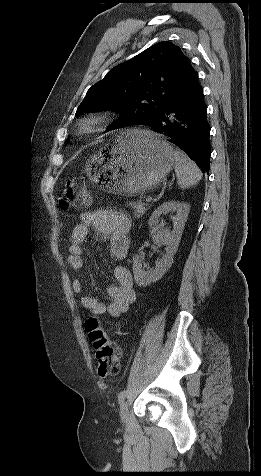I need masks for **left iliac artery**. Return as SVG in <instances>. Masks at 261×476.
<instances>
[{
    "label": "left iliac artery",
    "mask_w": 261,
    "mask_h": 476,
    "mask_svg": "<svg viewBox=\"0 0 261 476\" xmlns=\"http://www.w3.org/2000/svg\"><path fill=\"white\" fill-rule=\"evenodd\" d=\"M126 395H127V391H126V390L121 391V392L118 394V399H119V401L124 400V398L126 397Z\"/></svg>",
    "instance_id": "1"
}]
</instances>
